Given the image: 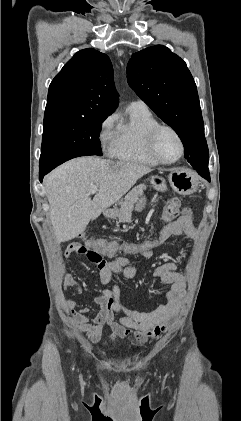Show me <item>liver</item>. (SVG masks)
<instances>
[{
  "label": "liver",
  "instance_id": "liver-1",
  "mask_svg": "<svg viewBox=\"0 0 241 421\" xmlns=\"http://www.w3.org/2000/svg\"><path fill=\"white\" fill-rule=\"evenodd\" d=\"M148 166L97 157L72 159L49 173L45 180L50 219L58 243L81 234L91 220L112 206L144 175ZM98 186L93 200L92 186Z\"/></svg>",
  "mask_w": 241,
  "mask_h": 421
}]
</instances>
